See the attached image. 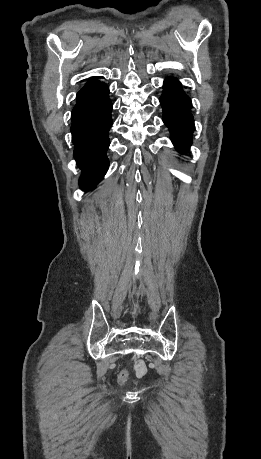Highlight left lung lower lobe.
<instances>
[{
	"label": "left lung lower lobe",
	"instance_id": "obj_1",
	"mask_svg": "<svg viewBox=\"0 0 261 459\" xmlns=\"http://www.w3.org/2000/svg\"><path fill=\"white\" fill-rule=\"evenodd\" d=\"M163 107V122L171 133V139L180 152H185L192 142L195 129L190 114L191 100L183 92L181 84L174 78L164 81V91L160 98Z\"/></svg>",
	"mask_w": 261,
	"mask_h": 459
}]
</instances>
